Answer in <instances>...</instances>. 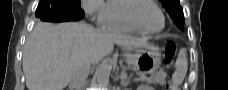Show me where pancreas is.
Wrapping results in <instances>:
<instances>
[{"label": "pancreas", "mask_w": 228, "mask_h": 90, "mask_svg": "<svg viewBox=\"0 0 228 90\" xmlns=\"http://www.w3.org/2000/svg\"><path fill=\"white\" fill-rule=\"evenodd\" d=\"M149 83H159L164 84L166 81L162 76L153 75L149 79H147Z\"/></svg>", "instance_id": "1"}]
</instances>
